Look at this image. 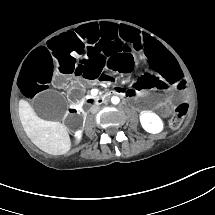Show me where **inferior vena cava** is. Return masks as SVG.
Segmentation results:
<instances>
[{
    "instance_id": "inferior-vena-cava-1",
    "label": "inferior vena cava",
    "mask_w": 215,
    "mask_h": 215,
    "mask_svg": "<svg viewBox=\"0 0 215 215\" xmlns=\"http://www.w3.org/2000/svg\"><path fill=\"white\" fill-rule=\"evenodd\" d=\"M99 109H100L99 105H92L91 108H90V112L95 114V113L98 112Z\"/></svg>"
}]
</instances>
